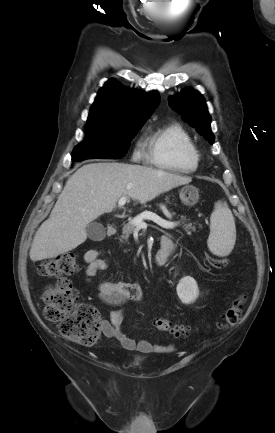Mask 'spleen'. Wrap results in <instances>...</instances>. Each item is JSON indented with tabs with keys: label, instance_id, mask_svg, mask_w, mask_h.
<instances>
[{
	"label": "spleen",
	"instance_id": "3e777b00",
	"mask_svg": "<svg viewBox=\"0 0 275 433\" xmlns=\"http://www.w3.org/2000/svg\"><path fill=\"white\" fill-rule=\"evenodd\" d=\"M236 240V228L232 212L227 204L218 201L210 217L209 250L217 256H227Z\"/></svg>",
	"mask_w": 275,
	"mask_h": 433
}]
</instances>
